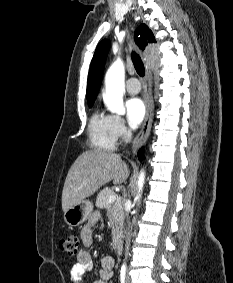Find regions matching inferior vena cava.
<instances>
[{
	"label": "inferior vena cava",
	"instance_id": "obj_1",
	"mask_svg": "<svg viewBox=\"0 0 233 283\" xmlns=\"http://www.w3.org/2000/svg\"><path fill=\"white\" fill-rule=\"evenodd\" d=\"M127 221L129 219L128 214H126ZM130 227V225H129ZM129 230V228H128ZM129 242H130V233L128 232L127 239H126V257L128 256V249H129Z\"/></svg>",
	"mask_w": 233,
	"mask_h": 283
}]
</instances>
